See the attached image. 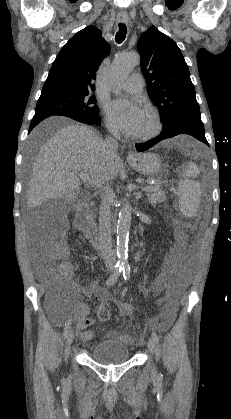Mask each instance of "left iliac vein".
<instances>
[{
  "instance_id": "left-iliac-vein-1",
  "label": "left iliac vein",
  "mask_w": 231,
  "mask_h": 419,
  "mask_svg": "<svg viewBox=\"0 0 231 419\" xmlns=\"http://www.w3.org/2000/svg\"><path fill=\"white\" fill-rule=\"evenodd\" d=\"M147 347H148V350L151 354H153L155 352V342H154L153 338L148 339ZM152 372L153 373L155 372V367L154 366H152Z\"/></svg>"
}]
</instances>
